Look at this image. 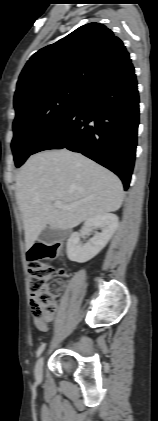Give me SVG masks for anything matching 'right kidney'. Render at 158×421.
<instances>
[{
    "label": "right kidney",
    "mask_w": 158,
    "mask_h": 421,
    "mask_svg": "<svg viewBox=\"0 0 158 421\" xmlns=\"http://www.w3.org/2000/svg\"><path fill=\"white\" fill-rule=\"evenodd\" d=\"M87 229L100 228L92 239L84 245L80 242L78 232L71 234L67 242V256L69 260L84 263L95 257L108 243L118 227V217L107 213L89 218L84 223Z\"/></svg>",
    "instance_id": "right-kidney-1"
}]
</instances>
